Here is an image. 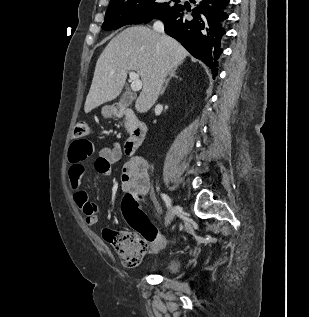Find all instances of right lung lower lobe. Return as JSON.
Returning <instances> with one entry per match:
<instances>
[{"instance_id": "right-lung-lower-lobe-1", "label": "right lung lower lobe", "mask_w": 309, "mask_h": 317, "mask_svg": "<svg viewBox=\"0 0 309 317\" xmlns=\"http://www.w3.org/2000/svg\"><path fill=\"white\" fill-rule=\"evenodd\" d=\"M230 0H197L193 10L175 5L152 19L165 24V32L178 40L194 57L203 61L217 75L221 42L226 33Z\"/></svg>"}]
</instances>
